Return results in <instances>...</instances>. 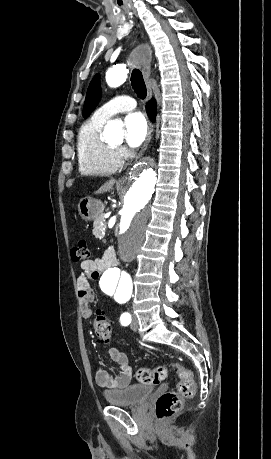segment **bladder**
<instances>
[{
  "label": "bladder",
  "instance_id": "31cf9c89",
  "mask_svg": "<svg viewBox=\"0 0 271 459\" xmlns=\"http://www.w3.org/2000/svg\"><path fill=\"white\" fill-rule=\"evenodd\" d=\"M154 389L150 384H132L123 390L105 391V401L111 405H142Z\"/></svg>",
  "mask_w": 271,
  "mask_h": 459
}]
</instances>
